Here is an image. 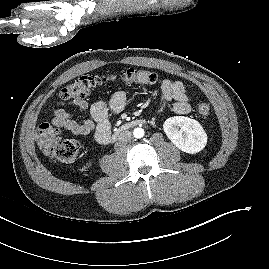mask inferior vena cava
I'll return each instance as SVG.
<instances>
[{
    "mask_svg": "<svg viewBox=\"0 0 269 269\" xmlns=\"http://www.w3.org/2000/svg\"><path fill=\"white\" fill-rule=\"evenodd\" d=\"M132 138V133L130 131H123L120 133L119 135V142L120 143H124V142H128L129 140H131Z\"/></svg>",
    "mask_w": 269,
    "mask_h": 269,
    "instance_id": "obj_1",
    "label": "inferior vena cava"
}]
</instances>
